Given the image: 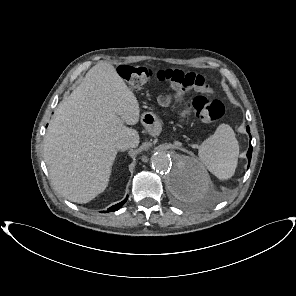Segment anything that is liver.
<instances>
[{"instance_id":"obj_1","label":"liver","mask_w":296,"mask_h":296,"mask_svg":"<svg viewBox=\"0 0 296 296\" xmlns=\"http://www.w3.org/2000/svg\"><path fill=\"white\" fill-rule=\"evenodd\" d=\"M140 107L116 69L98 62L59 104L44 139V160L55 189L66 199L87 203L109 182L116 143L134 147Z\"/></svg>"}]
</instances>
